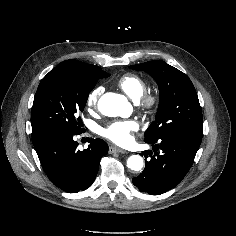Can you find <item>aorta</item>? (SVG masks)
Returning a JSON list of instances; mask_svg holds the SVG:
<instances>
[{
	"instance_id": "762f6f07",
	"label": "aorta",
	"mask_w": 236,
	"mask_h": 236,
	"mask_svg": "<svg viewBox=\"0 0 236 236\" xmlns=\"http://www.w3.org/2000/svg\"><path fill=\"white\" fill-rule=\"evenodd\" d=\"M129 108L127 99L116 93H106L98 102L99 111L109 117L123 116ZM127 167L133 171H140L143 168V158L140 155L130 156L127 160Z\"/></svg>"
}]
</instances>
